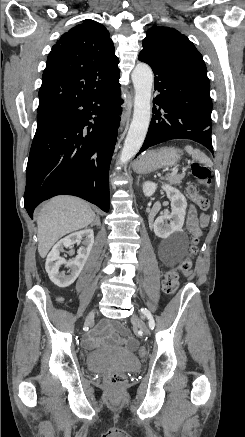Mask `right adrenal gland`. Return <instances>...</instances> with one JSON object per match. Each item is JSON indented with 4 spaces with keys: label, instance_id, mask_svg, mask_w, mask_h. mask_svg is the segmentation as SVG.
Masks as SVG:
<instances>
[{
    "label": "right adrenal gland",
    "instance_id": "obj_1",
    "mask_svg": "<svg viewBox=\"0 0 245 437\" xmlns=\"http://www.w3.org/2000/svg\"><path fill=\"white\" fill-rule=\"evenodd\" d=\"M93 225L100 226V218H99V216H96L94 222L91 223V226H93Z\"/></svg>",
    "mask_w": 245,
    "mask_h": 437
}]
</instances>
